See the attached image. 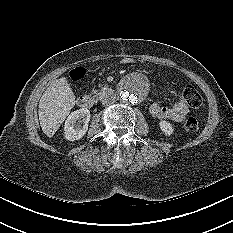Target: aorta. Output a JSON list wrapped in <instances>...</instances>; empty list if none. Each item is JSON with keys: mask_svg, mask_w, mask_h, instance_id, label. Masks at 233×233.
Segmentation results:
<instances>
[{"mask_svg": "<svg viewBox=\"0 0 233 233\" xmlns=\"http://www.w3.org/2000/svg\"><path fill=\"white\" fill-rule=\"evenodd\" d=\"M147 95V85L141 77L134 76L125 79L119 88V97L125 104H137Z\"/></svg>", "mask_w": 233, "mask_h": 233, "instance_id": "obj_1", "label": "aorta"}]
</instances>
